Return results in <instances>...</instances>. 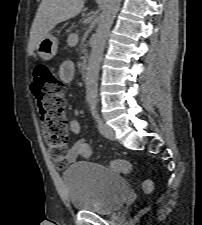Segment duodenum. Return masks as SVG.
<instances>
[{"mask_svg":"<svg viewBox=\"0 0 202 225\" xmlns=\"http://www.w3.org/2000/svg\"><path fill=\"white\" fill-rule=\"evenodd\" d=\"M81 68H82V76L85 77L87 74V70H88V58L87 57H84L82 59Z\"/></svg>","mask_w":202,"mask_h":225,"instance_id":"410a0bca","label":"duodenum"}]
</instances>
